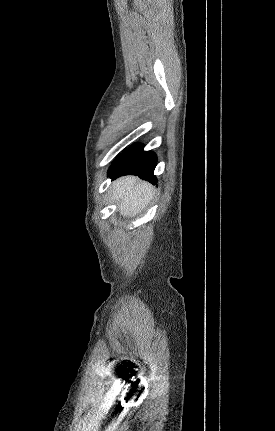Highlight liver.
Wrapping results in <instances>:
<instances>
[{
    "mask_svg": "<svg viewBox=\"0 0 275 431\" xmlns=\"http://www.w3.org/2000/svg\"><path fill=\"white\" fill-rule=\"evenodd\" d=\"M154 187L137 177L126 176L112 184V199L118 203V210L124 217H134L150 203Z\"/></svg>",
    "mask_w": 275,
    "mask_h": 431,
    "instance_id": "6515ba94",
    "label": "liver"
}]
</instances>
